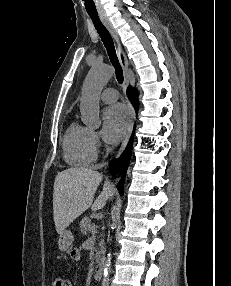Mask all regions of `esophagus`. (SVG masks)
<instances>
[{"instance_id": "obj_1", "label": "esophagus", "mask_w": 231, "mask_h": 286, "mask_svg": "<svg viewBox=\"0 0 231 286\" xmlns=\"http://www.w3.org/2000/svg\"><path fill=\"white\" fill-rule=\"evenodd\" d=\"M100 19L103 22V24L107 27V29L109 30L112 37L114 38V41L116 44L117 55H118L120 64H121L123 71H124V87L126 88L128 85V69H129L127 57H126V55H125V53L121 47L119 36H118L116 30L114 29L112 23L110 22L109 18L106 15L101 14ZM127 106H128V116H129L128 128H127L124 140L122 142L121 148H120L119 152L117 153V157H119L122 154V152L124 151V149L128 143V140L131 136L133 126H134V118H135L134 109H133L132 105L130 104V102H128Z\"/></svg>"}]
</instances>
